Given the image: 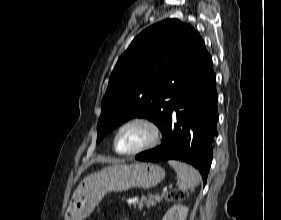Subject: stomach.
<instances>
[{
    "instance_id": "1",
    "label": "stomach",
    "mask_w": 281,
    "mask_h": 220,
    "mask_svg": "<svg viewBox=\"0 0 281 220\" xmlns=\"http://www.w3.org/2000/svg\"><path fill=\"white\" fill-rule=\"evenodd\" d=\"M165 177V170L152 163L118 164L86 176L73 193L65 220H84L108 192L138 187L149 189Z\"/></svg>"
}]
</instances>
